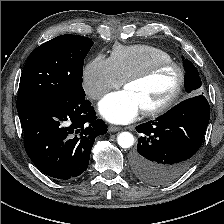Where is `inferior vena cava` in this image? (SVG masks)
<instances>
[{
  "mask_svg": "<svg viewBox=\"0 0 224 224\" xmlns=\"http://www.w3.org/2000/svg\"><path fill=\"white\" fill-rule=\"evenodd\" d=\"M101 94L100 93H98L97 95H96V97H98V96H100Z\"/></svg>",
  "mask_w": 224,
  "mask_h": 224,
  "instance_id": "inferior-vena-cava-1",
  "label": "inferior vena cava"
}]
</instances>
